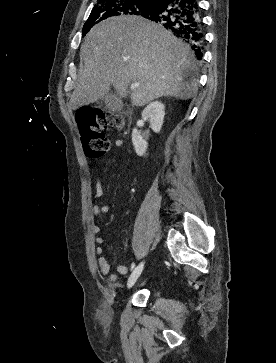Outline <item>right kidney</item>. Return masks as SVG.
Returning <instances> with one entry per match:
<instances>
[{
	"label": "right kidney",
	"instance_id": "obj_1",
	"mask_svg": "<svg viewBox=\"0 0 276 363\" xmlns=\"http://www.w3.org/2000/svg\"><path fill=\"white\" fill-rule=\"evenodd\" d=\"M141 115L143 120L150 121L151 129L155 133H159L163 125L165 106L159 101L152 102L145 107ZM132 143L138 156H143L146 153L148 143L143 139L136 128L132 131Z\"/></svg>",
	"mask_w": 276,
	"mask_h": 363
}]
</instances>
